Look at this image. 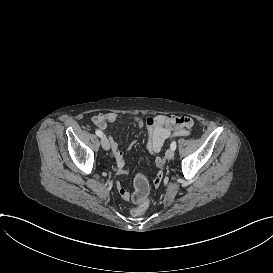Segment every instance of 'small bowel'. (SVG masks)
Here are the masks:
<instances>
[{
  "label": "small bowel",
  "mask_w": 273,
  "mask_h": 273,
  "mask_svg": "<svg viewBox=\"0 0 273 273\" xmlns=\"http://www.w3.org/2000/svg\"><path fill=\"white\" fill-rule=\"evenodd\" d=\"M91 121L96 128L105 131L109 124L120 121V116L115 112L100 113L94 115ZM133 122L140 128H143L145 126L144 121L139 117L133 118ZM192 125V119L185 116H169L164 114L156 115L154 117V124L152 126H148L146 124L148 133V151L151 153L160 152L165 142L171 136L187 135L190 132ZM107 138L111 156L117 162L122 172H125L127 166L124 152L121 150L118 142L111 135H107ZM155 162L159 167H162L164 165V162L160 157H157L155 159ZM162 178L163 174L161 172H158L155 175L153 184V187L155 189H159L161 187ZM115 188L118 190V193L123 197L125 201H129L131 199L129 192L124 189L120 183H117L115 185Z\"/></svg>",
  "instance_id": "c3829d8e"
}]
</instances>
